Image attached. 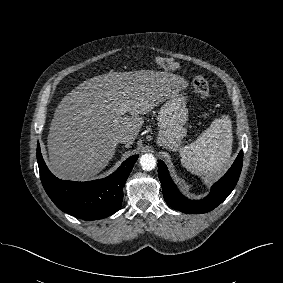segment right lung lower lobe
<instances>
[{"label":"right lung lower lobe","mask_w":283,"mask_h":283,"mask_svg":"<svg viewBox=\"0 0 283 283\" xmlns=\"http://www.w3.org/2000/svg\"><path fill=\"white\" fill-rule=\"evenodd\" d=\"M138 159L133 155L121 166L104 179L89 182L61 180L47 168L37 146V160L43 187L62 211L86 220L102 219L115 213L122 204L123 187Z\"/></svg>","instance_id":"1"}]
</instances>
